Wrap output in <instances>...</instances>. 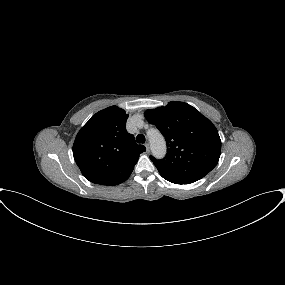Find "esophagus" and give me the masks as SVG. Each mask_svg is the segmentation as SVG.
Here are the masks:
<instances>
[{
  "label": "esophagus",
  "instance_id": "obj_1",
  "mask_svg": "<svg viewBox=\"0 0 285 285\" xmlns=\"http://www.w3.org/2000/svg\"><path fill=\"white\" fill-rule=\"evenodd\" d=\"M145 147H146L147 152H149V150H150L149 143H145Z\"/></svg>",
  "mask_w": 285,
  "mask_h": 285
}]
</instances>
